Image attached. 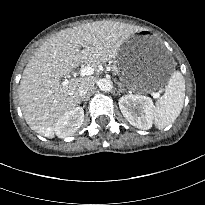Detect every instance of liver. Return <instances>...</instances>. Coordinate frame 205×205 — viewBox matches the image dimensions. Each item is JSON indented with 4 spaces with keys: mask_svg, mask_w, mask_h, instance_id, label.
<instances>
[{
    "mask_svg": "<svg viewBox=\"0 0 205 205\" xmlns=\"http://www.w3.org/2000/svg\"><path fill=\"white\" fill-rule=\"evenodd\" d=\"M136 31L125 23L96 21L62 30L44 42L24 69L19 86L21 109L30 128L53 138L59 117L77 106L78 89L90 79L60 83L61 77L81 62L98 65L115 58L121 45Z\"/></svg>",
    "mask_w": 205,
    "mask_h": 205,
    "instance_id": "1",
    "label": "liver"
}]
</instances>
